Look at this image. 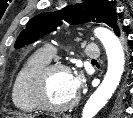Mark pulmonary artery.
I'll return each instance as SVG.
<instances>
[{
    "mask_svg": "<svg viewBox=\"0 0 133 118\" xmlns=\"http://www.w3.org/2000/svg\"><path fill=\"white\" fill-rule=\"evenodd\" d=\"M51 57L54 56L55 54V50L52 46H47L45 47L44 49ZM85 53H86V56L90 59H97L99 58L100 56V51L99 49L97 48L96 45H93V44H90V45H87L86 48H85Z\"/></svg>",
    "mask_w": 133,
    "mask_h": 118,
    "instance_id": "e3ab8cb5",
    "label": "pulmonary artery"
}]
</instances>
